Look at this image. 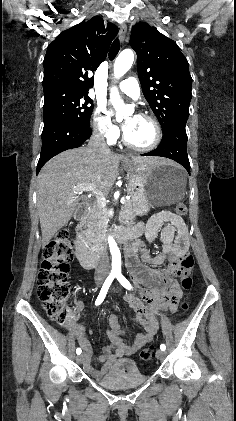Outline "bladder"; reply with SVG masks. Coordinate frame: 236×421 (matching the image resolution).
I'll return each mask as SVG.
<instances>
[{
    "instance_id": "obj_1",
    "label": "bladder",
    "mask_w": 236,
    "mask_h": 421,
    "mask_svg": "<svg viewBox=\"0 0 236 421\" xmlns=\"http://www.w3.org/2000/svg\"><path fill=\"white\" fill-rule=\"evenodd\" d=\"M147 377L139 373L134 360L121 359L118 365L106 372L102 384L116 390H128L141 386Z\"/></svg>"
}]
</instances>
